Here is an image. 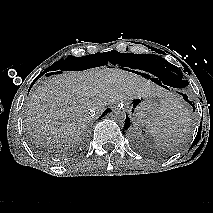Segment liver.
<instances>
[{
  "label": "liver",
  "mask_w": 213,
  "mask_h": 213,
  "mask_svg": "<svg viewBox=\"0 0 213 213\" xmlns=\"http://www.w3.org/2000/svg\"><path fill=\"white\" fill-rule=\"evenodd\" d=\"M165 98L161 87L132 72L115 68H93L52 76L30 95L26 120L33 137L42 145L66 149L79 141L91 120V112L135 98Z\"/></svg>",
  "instance_id": "1"
}]
</instances>
